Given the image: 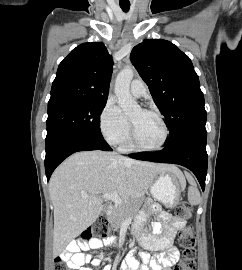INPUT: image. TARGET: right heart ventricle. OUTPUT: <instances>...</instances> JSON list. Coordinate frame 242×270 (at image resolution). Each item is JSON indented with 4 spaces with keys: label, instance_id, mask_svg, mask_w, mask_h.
<instances>
[{
    "label": "right heart ventricle",
    "instance_id": "right-heart-ventricle-1",
    "mask_svg": "<svg viewBox=\"0 0 242 270\" xmlns=\"http://www.w3.org/2000/svg\"><path fill=\"white\" fill-rule=\"evenodd\" d=\"M132 148L133 147L131 145L130 137L128 136V138L126 139V141L122 144V150H130Z\"/></svg>",
    "mask_w": 242,
    "mask_h": 270
}]
</instances>
